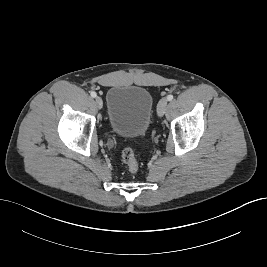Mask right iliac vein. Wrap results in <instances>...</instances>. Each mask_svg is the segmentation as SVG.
I'll return each mask as SVG.
<instances>
[{"label":"right iliac vein","instance_id":"63e3f726","mask_svg":"<svg viewBox=\"0 0 267 267\" xmlns=\"http://www.w3.org/2000/svg\"><path fill=\"white\" fill-rule=\"evenodd\" d=\"M95 103H96V105H97V107H98L99 109L102 108V106H103V102H102V99H101L99 96L96 97V99H95Z\"/></svg>","mask_w":267,"mask_h":267}]
</instances>
